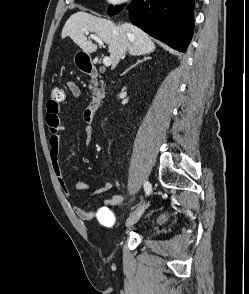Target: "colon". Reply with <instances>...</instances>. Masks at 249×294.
I'll use <instances>...</instances> for the list:
<instances>
[{"instance_id": "colon-1", "label": "colon", "mask_w": 249, "mask_h": 294, "mask_svg": "<svg viewBox=\"0 0 249 294\" xmlns=\"http://www.w3.org/2000/svg\"><path fill=\"white\" fill-rule=\"evenodd\" d=\"M65 99L64 90L60 87H54L51 90L50 100L48 101L51 105L57 106Z\"/></svg>"}]
</instances>
